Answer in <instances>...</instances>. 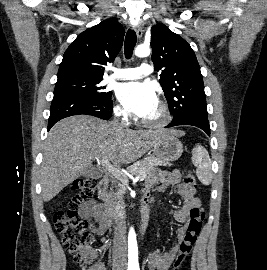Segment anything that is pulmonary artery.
<instances>
[{
    "label": "pulmonary artery",
    "mask_w": 267,
    "mask_h": 270,
    "mask_svg": "<svg viewBox=\"0 0 267 270\" xmlns=\"http://www.w3.org/2000/svg\"><path fill=\"white\" fill-rule=\"evenodd\" d=\"M153 72V67L150 64L143 63L139 67L114 69V73L110 76L111 79L132 80L143 76H149Z\"/></svg>",
    "instance_id": "obj_1"
}]
</instances>
